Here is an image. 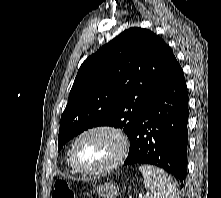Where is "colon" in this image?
I'll return each instance as SVG.
<instances>
[{"label": "colon", "mask_w": 221, "mask_h": 198, "mask_svg": "<svg viewBox=\"0 0 221 198\" xmlns=\"http://www.w3.org/2000/svg\"><path fill=\"white\" fill-rule=\"evenodd\" d=\"M52 198H75V194L66 181L57 180L54 185Z\"/></svg>", "instance_id": "5ec220e1"}]
</instances>
